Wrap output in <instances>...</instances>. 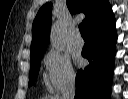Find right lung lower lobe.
Returning a JSON list of instances; mask_svg holds the SVG:
<instances>
[{
	"mask_svg": "<svg viewBox=\"0 0 128 99\" xmlns=\"http://www.w3.org/2000/svg\"><path fill=\"white\" fill-rule=\"evenodd\" d=\"M89 41L82 50L89 65L76 75L75 99H109L117 40L115 18L109 6L87 26Z\"/></svg>",
	"mask_w": 128,
	"mask_h": 99,
	"instance_id": "obj_1",
	"label": "right lung lower lobe"
}]
</instances>
